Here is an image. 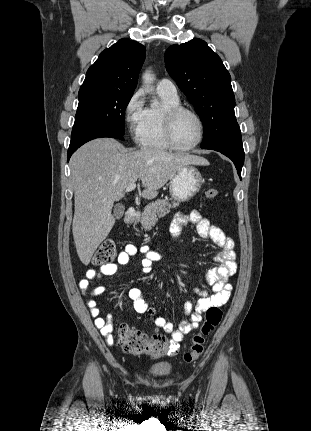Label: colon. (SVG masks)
Returning a JSON list of instances; mask_svg holds the SVG:
<instances>
[{"label":"colon","instance_id":"colon-1","mask_svg":"<svg viewBox=\"0 0 311 431\" xmlns=\"http://www.w3.org/2000/svg\"><path fill=\"white\" fill-rule=\"evenodd\" d=\"M209 200L218 196V191L208 188L204 193ZM116 257V246L113 240L106 239L98 247L94 255V264L107 265ZM222 311L219 307H210L206 311L205 320L191 340V347L184 354V361L195 362L204 352L205 338L220 324ZM119 344L127 353L134 355H147L153 358L172 355L177 350V344L162 336L149 337L146 334L133 329L127 324H120L118 330Z\"/></svg>","mask_w":311,"mask_h":431}]
</instances>
